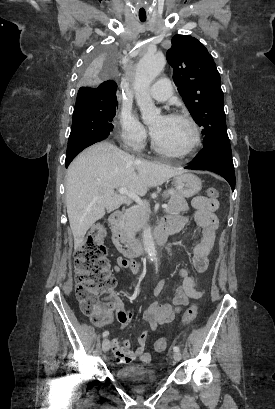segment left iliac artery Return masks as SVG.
Returning a JSON list of instances; mask_svg holds the SVG:
<instances>
[{"mask_svg":"<svg viewBox=\"0 0 275 409\" xmlns=\"http://www.w3.org/2000/svg\"><path fill=\"white\" fill-rule=\"evenodd\" d=\"M179 350H180V348L178 346L173 347L174 352L179 351Z\"/></svg>","mask_w":275,"mask_h":409,"instance_id":"left-iliac-artery-1","label":"left iliac artery"}]
</instances>
